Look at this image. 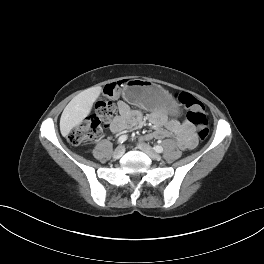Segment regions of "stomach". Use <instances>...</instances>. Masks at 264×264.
<instances>
[{
    "instance_id": "0dacf381",
    "label": "stomach",
    "mask_w": 264,
    "mask_h": 264,
    "mask_svg": "<svg viewBox=\"0 0 264 264\" xmlns=\"http://www.w3.org/2000/svg\"><path fill=\"white\" fill-rule=\"evenodd\" d=\"M124 97L127 101L144 109H164L169 117L180 113V106L162 87L142 79H132L126 85Z\"/></svg>"
}]
</instances>
